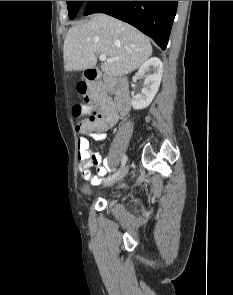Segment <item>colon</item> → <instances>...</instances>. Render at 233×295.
<instances>
[{"instance_id": "colon-1", "label": "colon", "mask_w": 233, "mask_h": 295, "mask_svg": "<svg viewBox=\"0 0 233 295\" xmlns=\"http://www.w3.org/2000/svg\"><path fill=\"white\" fill-rule=\"evenodd\" d=\"M117 85L115 79L102 77L94 79L88 78L86 81H82L77 85V91L82 96L84 103L76 104L73 109V114L77 119L83 114H90V118L81 122L77 126V129L94 125L101 119V115H98L96 112L94 106L95 102L98 101L102 94L114 90Z\"/></svg>"}]
</instances>
